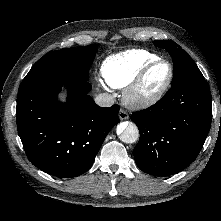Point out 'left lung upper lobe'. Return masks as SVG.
Segmentation results:
<instances>
[{
	"instance_id": "5c2ea615",
	"label": "left lung upper lobe",
	"mask_w": 221,
	"mask_h": 221,
	"mask_svg": "<svg viewBox=\"0 0 221 221\" xmlns=\"http://www.w3.org/2000/svg\"><path fill=\"white\" fill-rule=\"evenodd\" d=\"M154 45L169 52L173 60L172 86L187 81H204L201 71L191 57L175 42L170 40L154 41Z\"/></svg>"
}]
</instances>
